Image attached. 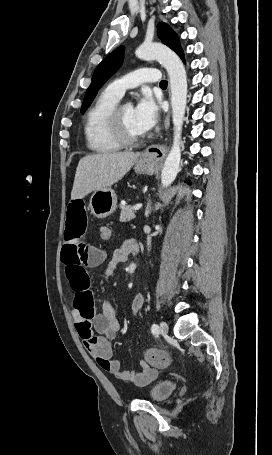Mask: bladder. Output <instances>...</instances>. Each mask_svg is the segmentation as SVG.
Here are the masks:
<instances>
[{"label": "bladder", "mask_w": 272, "mask_h": 455, "mask_svg": "<svg viewBox=\"0 0 272 455\" xmlns=\"http://www.w3.org/2000/svg\"><path fill=\"white\" fill-rule=\"evenodd\" d=\"M175 389V384L169 379H163L152 384L148 390V397L154 402L167 399Z\"/></svg>", "instance_id": "31cf9c89"}]
</instances>
